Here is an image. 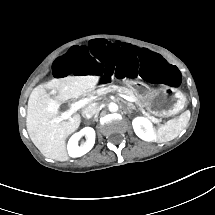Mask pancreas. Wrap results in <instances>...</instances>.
<instances>
[{
  "mask_svg": "<svg viewBox=\"0 0 215 215\" xmlns=\"http://www.w3.org/2000/svg\"><path fill=\"white\" fill-rule=\"evenodd\" d=\"M109 92H118V93H121V94H126L128 96H131V97H134V93L132 90L126 88V87H121V86H117V85H112V84H108L106 85L105 87H100L99 89L91 92V95H97V96H103ZM135 105L138 106L139 110L146 116L148 117L149 119H152L154 121H156L157 123L160 122L159 119L153 117V116H150L149 113H147L145 110H144V107H143V104L141 103L140 100L136 99L135 101ZM135 105L131 102H128V107L132 108V109H136Z\"/></svg>",
  "mask_w": 215,
  "mask_h": 215,
  "instance_id": "pancreas-1",
  "label": "pancreas"
}]
</instances>
